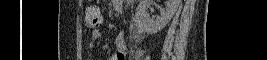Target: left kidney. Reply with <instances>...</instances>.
<instances>
[{"mask_svg": "<svg viewBox=\"0 0 267 60\" xmlns=\"http://www.w3.org/2000/svg\"><path fill=\"white\" fill-rule=\"evenodd\" d=\"M166 8L160 9V16L156 19L150 17L147 8L150 0H141L136 9L135 23L144 32L155 34L161 31L170 22L178 9L180 0H166Z\"/></svg>", "mask_w": 267, "mask_h": 60, "instance_id": "1", "label": "left kidney"}]
</instances>
